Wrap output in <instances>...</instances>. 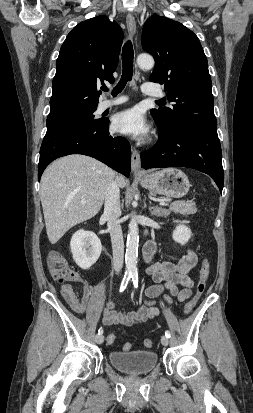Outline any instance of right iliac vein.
<instances>
[{
	"instance_id": "1",
	"label": "right iliac vein",
	"mask_w": 253,
	"mask_h": 413,
	"mask_svg": "<svg viewBox=\"0 0 253 413\" xmlns=\"http://www.w3.org/2000/svg\"><path fill=\"white\" fill-rule=\"evenodd\" d=\"M95 340L98 344H102L104 341V336L102 334H98L96 335Z\"/></svg>"
}]
</instances>
